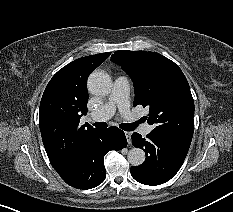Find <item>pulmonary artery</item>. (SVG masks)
Here are the masks:
<instances>
[{
  "label": "pulmonary artery",
  "instance_id": "obj_1",
  "mask_svg": "<svg viewBox=\"0 0 233 212\" xmlns=\"http://www.w3.org/2000/svg\"><path fill=\"white\" fill-rule=\"evenodd\" d=\"M118 110L123 117L130 118L129 104V80L125 76H119L115 79L112 91L107 102L98 110L90 114L93 121H105L109 119L115 111ZM152 127L145 124L141 128V133L147 135L151 132Z\"/></svg>",
  "mask_w": 233,
  "mask_h": 212
}]
</instances>
